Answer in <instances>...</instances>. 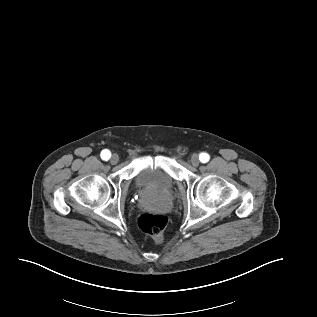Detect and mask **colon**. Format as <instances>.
<instances>
[{
  "label": "colon",
  "instance_id": "1",
  "mask_svg": "<svg viewBox=\"0 0 317 317\" xmlns=\"http://www.w3.org/2000/svg\"><path fill=\"white\" fill-rule=\"evenodd\" d=\"M167 221V217L163 214L143 213L138 219V225L145 234L159 243L163 239Z\"/></svg>",
  "mask_w": 317,
  "mask_h": 317
}]
</instances>
